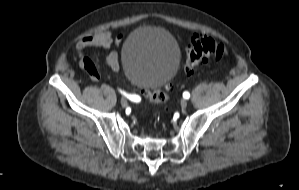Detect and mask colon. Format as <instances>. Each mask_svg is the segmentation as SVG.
I'll list each match as a JSON object with an SVG mask.
<instances>
[{
  "label": "colon",
  "mask_w": 299,
  "mask_h": 190,
  "mask_svg": "<svg viewBox=\"0 0 299 190\" xmlns=\"http://www.w3.org/2000/svg\"><path fill=\"white\" fill-rule=\"evenodd\" d=\"M228 57L229 51L223 43L217 42L210 37L195 36L187 47L184 69L187 73H190L207 60L221 62ZM79 62L90 76L97 72L95 64L88 56L81 54ZM169 90L170 85L165 84L162 88L145 89L143 95L151 103L163 106L167 102V92Z\"/></svg>",
  "instance_id": "colon-1"
}]
</instances>
